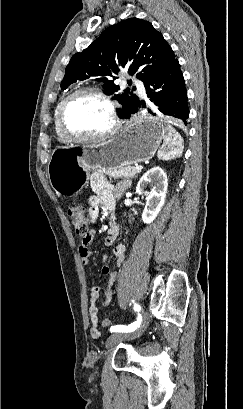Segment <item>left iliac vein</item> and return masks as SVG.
Returning <instances> with one entry per match:
<instances>
[{"label": "left iliac vein", "mask_w": 243, "mask_h": 409, "mask_svg": "<svg viewBox=\"0 0 243 409\" xmlns=\"http://www.w3.org/2000/svg\"><path fill=\"white\" fill-rule=\"evenodd\" d=\"M148 324H149L148 313L144 312L143 321H142L141 325L137 329H135L132 332H128V333H114V334H112L108 338V340L106 342V347L110 348V347H113V346L117 345L118 343H120V342H122L124 340H130V339H135V338L139 337L145 331Z\"/></svg>", "instance_id": "4c4485c4"}]
</instances>
